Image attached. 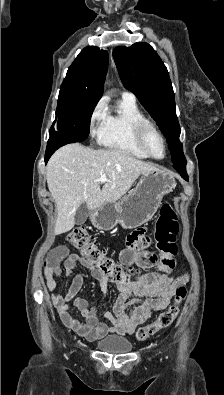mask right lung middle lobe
<instances>
[{
    "label": "right lung middle lobe",
    "instance_id": "dd1d6c3e",
    "mask_svg": "<svg viewBox=\"0 0 224 395\" xmlns=\"http://www.w3.org/2000/svg\"><path fill=\"white\" fill-rule=\"evenodd\" d=\"M100 98L97 95L61 87L56 119L49 134L60 139L84 141L89 134L91 115Z\"/></svg>",
    "mask_w": 224,
    "mask_h": 395
}]
</instances>
